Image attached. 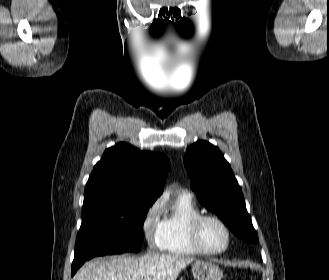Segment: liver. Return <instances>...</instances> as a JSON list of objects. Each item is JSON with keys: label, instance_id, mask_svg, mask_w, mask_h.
I'll list each match as a JSON object with an SVG mask.
<instances>
[{"label": "liver", "instance_id": "obj_1", "mask_svg": "<svg viewBox=\"0 0 329 280\" xmlns=\"http://www.w3.org/2000/svg\"><path fill=\"white\" fill-rule=\"evenodd\" d=\"M193 261L191 257L154 253L95 259L79 269L75 280H176Z\"/></svg>", "mask_w": 329, "mask_h": 280}]
</instances>
